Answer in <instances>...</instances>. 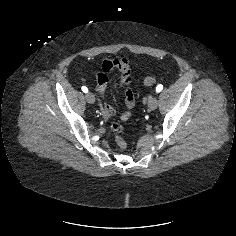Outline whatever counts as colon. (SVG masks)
Here are the masks:
<instances>
[{
    "label": "colon",
    "mask_w": 236,
    "mask_h": 236,
    "mask_svg": "<svg viewBox=\"0 0 236 236\" xmlns=\"http://www.w3.org/2000/svg\"><path fill=\"white\" fill-rule=\"evenodd\" d=\"M156 82L155 78L153 77H147L144 80V84L147 86L153 85ZM111 130L115 136V141L117 146L119 147L120 150H125L126 149V141L123 137L124 134V127L120 123H114L111 126Z\"/></svg>",
    "instance_id": "obj_1"
}]
</instances>
